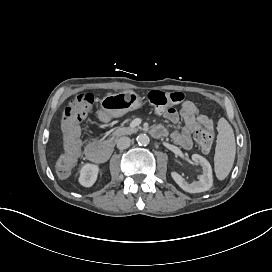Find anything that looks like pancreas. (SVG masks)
<instances>
[{
	"mask_svg": "<svg viewBox=\"0 0 272 272\" xmlns=\"http://www.w3.org/2000/svg\"><path fill=\"white\" fill-rule=\"evenodd\" d=\"M138 131V128H131V127H121L117 128L113 133L111 137V141H117L118 138H120L123 135H130L133 133H136Z\"/></svg>",
	"mask_w": 272,
	"mask_h": 272,
	"instance_id": "cf45deb5",
	"label": "pancreas"
}]
</instances>
